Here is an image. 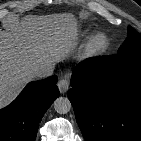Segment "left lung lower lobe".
<instances>
[{
	"label": "left lung lower lobe",
	"mask_w": 141,
	"mask_h": 141,
	"mask_svg": "<svg viewBox=\"0 0 141 141\" xmlns=\"http://www.w3.org/2000/svg\"><path fill=\"white\" fill-rule=\"evenodd\" d=\"M70 84L86 141H141V51L87 59Z\"/></svg>",
	"instance_id": "obj_1"
}]
</instances>
